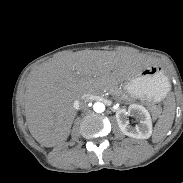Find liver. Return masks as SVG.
<instances>
[{
  "mask_svg": "<svg viewBox=\"0 0 183 183\" xmlns=\"http://www.w3.org/2000/svg\"><path fill=\"white\" fill-rule=\"evenodd\" d=\"M150 65L118 51L83 50L58 56L32 70L24 94L31 135L45 147L65 142L76 116L75 100L125 81Z\"/></svg>",
  "mask_w": 183,
  "mask_h": 183,
  "instance_id": "1",
  "label": "liver"
}]
</instances>
